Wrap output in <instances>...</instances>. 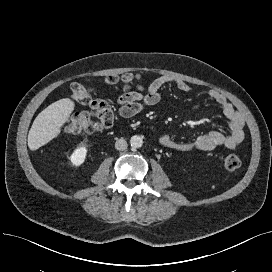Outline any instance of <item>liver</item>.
Segmentation results:
<instances>
[{
    "mask_svg": "<svg viewBox=\"0 0 272 272\" xmlns=\"http://www.w3.org/2000/svg\"><path fill=\"white\" fill-rule=\"evenodd\" d=\"M74 108L75 103L71 99L63 98L41 111L35 118L28 134L29 149L37 150L56 138Z\"/></svg>",
    "mask_w": 272,
    "mask_h": 272,
    "instance_id": "1",
    "label": "liver"
}]
</instances>
